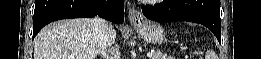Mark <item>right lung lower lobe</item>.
I'll use <instances>...</instances> for the list:
<instances>
[{"label": "right lung lower lobe", "mask_w": 261, "mask_h": 59, "mask_svg": "<svg viewBox=\"0 0 261 59\" xmlns=\"http://www.w3.org/2000/svg\"><path fill=\"white\" fill-rule=\"evenodd\" d=\"M100 17L113 23L124 21L123 0H36L33 39L50 22L79 17Z\"/></svg>", "instance_id": "right-lung-lower-lobe-1"}]
</instances>
